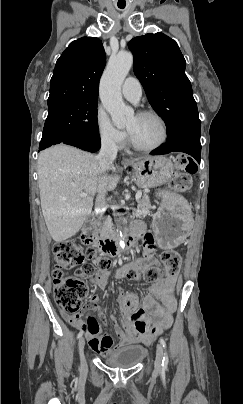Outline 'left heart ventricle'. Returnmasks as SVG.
Listing matches in <instances>:
<instances>
[{"instance_id":"left-heart-ventricle-1","label":"left heart ventricle","mask_w":243,"mask_h":404,"mask_svg":"<svg viewBox=\"0 0 243 404\" xmlns=\"http://www.w3.org/2000/svg\"><path fill=\"white\" fill-rule=\"evenodd\" d=\"M125 127L134 141L144 146L156 144L163 135L160 122L152 116H132Z\"/></svg>"}]
</instances>
